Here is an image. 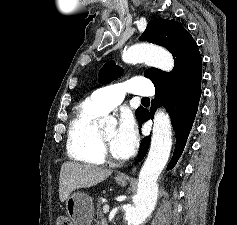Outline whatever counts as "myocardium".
Here are the masks:
<instances>
[{"label": "myocardium", "instance_id": "f54148a6", "mask_svg": "<svg viewBox=\"0 0 237 225\" xmlns=\"http://www.w3.org/2000/svg\"><path fill=\"white\" fill-rule=\"evenodd\" d=\"M98 136H99V141H100V145H101V149H102V154L104 156V160H108L110 162H114V163H118L121 161L120 158H117L113 155L110 146L102 132L101 129L98 130Z\"/></svg>", "mask_w": 237, "mask_h": 225}]
</instances>
